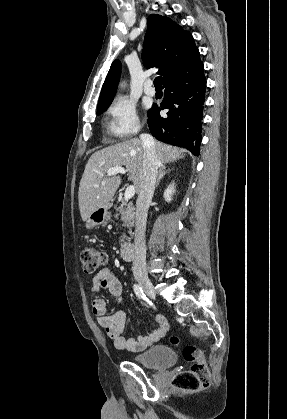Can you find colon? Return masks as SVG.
Segmentation results:
<instances>
[{
	"label": "colon",
	"mask_w": 287,
	"mask_h": 419,
	"mask_svg": "<svg viewBox=\"0 0 287 419\" xmlns=\"http://www.w3.org/2000/svg\"><path fill=\"white\" fill-rule=\"evenodd\" d=\"M81 261L86 274H92L105 268L107 256L95 247H85L81 252ZM179 339L171 337V343L176 345ZM184 359L191 363L189 370L181 371L172 377V385L184 390H200L208 386L209 369L205 357L200 349L193 345H186L183 348Z\"/></svg>",
	"instance_id": "obj_1"
}]
</instances>
